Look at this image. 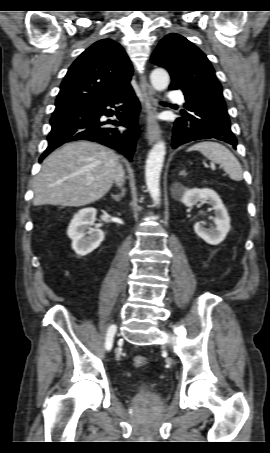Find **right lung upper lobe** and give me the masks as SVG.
<instances>
[{
    "instance_id": "obj_1",
    "label": "right lung upper lobe",
    "mask_w": 270,
    "mask_h": 453,
    "mask_svg": "<svg viewBox=\"0 0 270 453\" xmlns=\"http://www.w3.org/2000/svg\"><path fill=\"white\" fill-rule=\"evenodd\" d=\"M132 65L124 49L102 39L71 65L61 84L56 106L101 100L129 86Z\"/></svg>"
}]
</instances>
